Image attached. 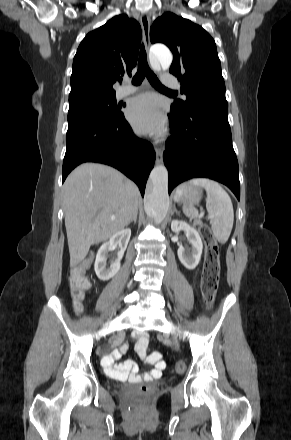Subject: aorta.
<instances>
[{
	"mask_svg": "<svg viewBox=\"0 0 291 440\" xmlns=\"http://www.w3.org/2000/svg\"><path fill=\"white\" fill-rule=\"evenodd\" d=\"M151 53L159 61L163 70L169 69L173 56L164 45H154ZM144 209L146 214L156 223H160L167 215L169 209L168 196V171L164 165L153 168L147 185Z\"/></svg>",
	"mask_w": 291,
	"mask_h": 440,
	"instance_id": "1",
	"label": "aorta"
}]
</instances>
